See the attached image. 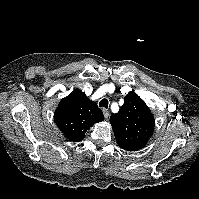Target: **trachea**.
Instances as JSON below:
<instances>
[{"instance_id": "trachea-1", "label": "trachea", "mask_w": 199, "mask_h": 199, "mask_svg": "<svg viewBox=\"0 0 199 199\" xmlns=\"http://www.w3.org/2000/svg\"><path fill=\"white\" fill-rule=\"evenodd\" d=\"M99 106L100 107H104V108H108V106H109V102H108V100L107 99H102L100 102H99Z\"/></svg>"}]
</instances>
